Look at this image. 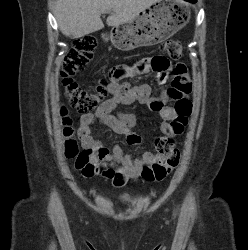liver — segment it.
<instances>
[{
	"instance_id": "1",
	"label": "liver",
	"mask_w": 248,
	"mask_h": 250,
	"mask_svg": "<svg viewBox=\"0 0 248 250\" xmlns=\"http://www.w3.org/2000/svg\"><path fill=\"white\" fill-rule=\"evenodd\" d=\"M161 0H57L55 16L60 31L80 38L104 28L101 14L111 12L108 26L132 21L140 12Z\"/></svg>"
}]
</instances>
